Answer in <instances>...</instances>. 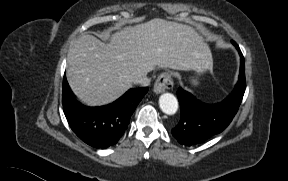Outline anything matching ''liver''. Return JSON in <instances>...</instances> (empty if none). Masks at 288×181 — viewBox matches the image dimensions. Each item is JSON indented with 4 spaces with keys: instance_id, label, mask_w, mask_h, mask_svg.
Masks as SVG:
<instances>
[{
    "instance_id": "liver-1",
    "label": "liver",
    "mask_w": 288,
    "mask_h": 181,
    "mask_svg": "<svg viewBox=\"0 0 288 181\" xmlns=\"http://www.w3.org/2000/svg\"><path fill=\"white\" fill-rule=\"evenodd\" d=\"M201 44L192 27L160 18L118 30L109 44L86 34L69 49L67 80L87 105L107 104L156 67L191 70Z\"/></svg>"
}]
</instances>
